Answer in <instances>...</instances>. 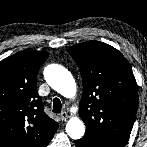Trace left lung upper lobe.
<instances>
[{
  "label": "left lung upper lobe",
  "instance_id": "left-lung-upper-lobe-1",
  "mask_svg": "<svg viewBox=\"0 0 147 147\" xmlns=\"http://www.w3.org/2000/svg\"><path fill=\"white\" fill-rule=\"evenodd\" d=\"M79 67L83 96L82 138L92 147H125L137 111L138 90L131 66L114 47L88 41L68 49Z\"/></svg>",
  "mask_w": 147,
  "mask_h": 147
}]
</instances>
